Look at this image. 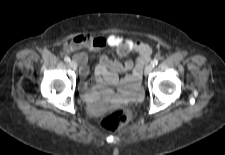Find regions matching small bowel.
Here are the masks:
<instances>
[{
    "mask_svg": "<svg viewBox=\"0 0 225 155\" xmlns=\"http://www.w3.org/2000/svg\"><path fill=\"white\" fill-rule=\"evenodd\" d=\"M107 46L115 48L119 56L123 57L135 52L138 53V58L135 61L129 60L121 64L105 55L101 56L94 71V86L89 87L85 82L81 84L84 97L88 100H94L99 95H103L113 102L137 98L140 93L142 67L150 60L151 55V49L147 44L120 35L103 37L79 34L64 45V51L74 53L84 49L91 53V58H95V53ZM74 59L80 65L81 77L86 78L89 74L87 55L80 52L74 55ZM122 71H131V74L119 80L118 73ZM116 85H119L121 89L119 94H114L111 90V87Z\"/></svg>",
    "mask_w": 225,
    "mask_h": 155,
    "instance_id": "1",
    "label": "small bowel"
}]
</instances>
